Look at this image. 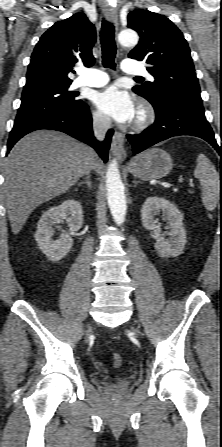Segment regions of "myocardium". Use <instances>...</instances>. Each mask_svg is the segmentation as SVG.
<instances>
[{
	"mask_svg": "<svg viewBox=\"0 0 222 447\" xmlns=\"http://www.w3.org/2000/svg\"><path fill=\"white\" fill-rule=\"evenodd\" d=\"M155 114L153 108L149 104H141L135 120V127L143 129L147 127L153 120Z\"/></svg>",
	"mask_w": 222,
	"mask_h": 447,
	"instance_id": "myocardium-1",
	"label": "myocardium"
}]
</instances>
